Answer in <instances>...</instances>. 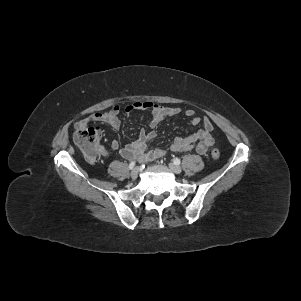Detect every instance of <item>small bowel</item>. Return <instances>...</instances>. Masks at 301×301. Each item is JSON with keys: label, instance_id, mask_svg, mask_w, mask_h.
Returning <instances> with one entry per match:
<instances>
[{"label": "small bowel", "instance_id": "c3829d8e", "mask_svg": "<svg viewBox=\"0 0 301 301\" xmlns=\"http://www.w3.org/2000/svg\"><path fill=\"white\" fill-rule=\"evenodd\" d=\"M133 111H149L151 119L149 126L151 128L157 127L164 119L176 116L181 113L178 107H165L152 102H135L125 108L126 113ZM120 107L115 105L106 112H97L90 117L80 120L76 123V128L86 126L89 122H100L109 125L113 129L120 127ZM184 114L191 118L193 126L199 124L202 127L194 134L187 137H176L170 149L174 152H184L195 149L199 154H205L210 147L214 145V138L212 136L213 124L206 117L197 116L195 111L188 109ZM156 137L154 131L146 132L142 130L136 141L120 148L119 142L113 140L110 144V150H103V153L108 155L111 152L119 151L120 155L125 159L138 158L142 161H153L163 157L166 152L162 149L156 148L148 150V145Z\"/></svg>", "mask_w": 301, "mask_h": 301}]
</instances>
